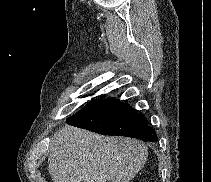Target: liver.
I'll return each mask as SVG.
<instances>
[{"mask_svg":"<svg viewBox=\"0 0 211 182\" xmlns=\"http://www.w3.org/2000/svg\"><path fill=\"white\" fill-rule=\"evenodd\" d=\"M147 146L136 139L62 128L48 158L54 182H129L144 166Z\"/></svg>","mask_w":211,"mask_h":182,"instance_id":"obj_1","label":"liver"}]
</instances>
